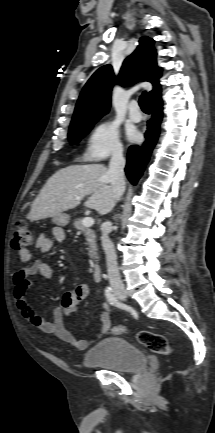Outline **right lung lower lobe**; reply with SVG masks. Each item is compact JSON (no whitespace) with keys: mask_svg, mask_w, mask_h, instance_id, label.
Instances as JSON below:
<instances>
[{"mask_svg":"<svg viewBox=\"0 0 215 433\" xmlns=\"http://www.w3.org/2000/svg\"><path fill=\"white\" fill-rule=\"evenodd\" d=\"M152 118L148 121L145 133L146 141L143 148L130 146L125 167L129 181L136 185L143 174L144 168L149 160L152 149L154 148L160 133V123L162 120V100L161 93L150 100Z\"/></svg>","mask_w":215,"mask_h":433,"instance_id":"obj_1","label":"right lung lower lobe"}]
</instances>
